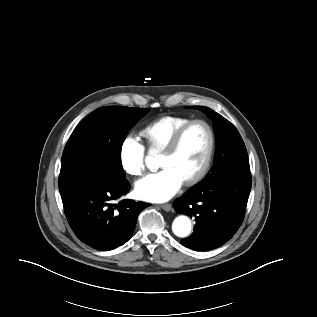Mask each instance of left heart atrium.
<instances>
[{"instance_id":"obj_1","label":"left heart atrium","mask_w":317,"mask_h":317,"mask_svg":"<svg viewBox=\"0 0 317 317\" xmlns=\"http://www.w3.org/2000/svg\"><path fill=\"white\" fill-rule=\"evenodd\" d=\"M182 184V178L172 168L166 167L139 180L135 191L140 199L164 202L175 195Z\"/></svg>"}]
</instances>
